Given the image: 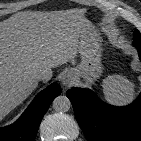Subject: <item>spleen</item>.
<instances>
[{"mask_svg": "<svg viewBox=\"0 0 141 141\" xmlns=\"http://www.w3.org/2000/svg\"><path fill=\"white\" fill-rule=\"evenodd\" d=\"M102 87L106 101L115 105L127 104L135 95L134 83L122 75L106 78Z\"/></svg>", "mask_w": 141, "mask_h": 141, "instance_id": "obj_1", "label": "spleen"}]
</instances>
